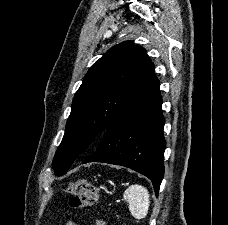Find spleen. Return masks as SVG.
<instances>
[{
    "instance_id": "1",
    "label": "spleen",
    "mask_w": 228,
    "mask_h": 225,
    "mask_svg": "<svg viewBox=\"0 0 228 225\" xmlns=\"http://www.w3.org/2000/svg\"><path fill=\"white\" fill-rule=\"evenodd\" d=\"M123 199L127 201L129 211L134 219H145L150 207V195L146 187L130 185L126 189Z\"/></svg>"
}]
</instances>
